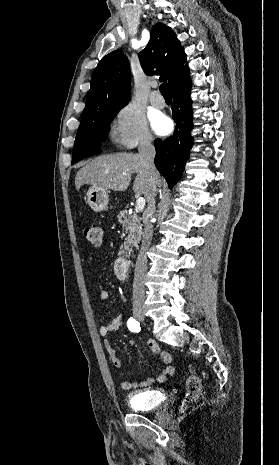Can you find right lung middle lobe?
Returning <instances> with one entry per match:
<instances>
[{"mask_svg":"<svg viewBox=\"0 0 279 465\" xmlns=\"http://www.w3.org/2000/svg\"><path fill=\"white\" fill-rule=\"evenodd\" d=\"M118 111V109L104 110L92 122L79 126L72 151V164L100 153L101 142L106 139L108 126Z\"/></svg>","mask_w":279,"mask_h":465,"instance_id":"obj_1","label":"right lung middle lobe"}]
</instances>
